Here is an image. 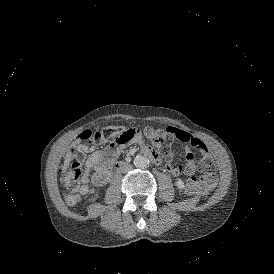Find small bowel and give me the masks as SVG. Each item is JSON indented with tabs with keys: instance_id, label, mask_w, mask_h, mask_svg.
<instances>
[{
	"instance_id": "obj_1",
	"label": "small bowel",
	"mask_w": 274,
	"mask_h": 274,
	"mask_svg": "<svg viewBox=\"0 0 274 274\" xmlns=\"http://www.w3.org/2000/svg\"><path fill=\"white\" fill-rule=\"evenodd\" d=\"M166 131L169 136L185 145L197 148L201 152L207 151L206 145L199 138L194 137L182 129H176L172 124L167 125ZM132 142L141 147L145 146L144 140L139 135H137ZM125 146L126 145L117 147L111 145L105 150L95 151L88 157L84 164V170L80 180L79 191L82 195H92L95 192V188H101L107 185L115 170V165L117 164L116 158ZM196 159L197 154L195 152H190L187 156V164L185 166L168 165L166 166V169L175 176L180 175L181 173H184L186 176H192L196 170L194 164Z\"/></svg>"
}]
</instances>
